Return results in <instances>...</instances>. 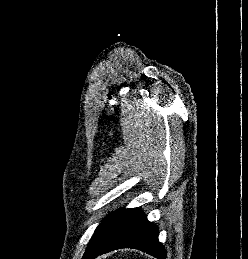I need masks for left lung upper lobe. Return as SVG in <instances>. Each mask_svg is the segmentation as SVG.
Returning a JSON list of instances; mask_svg holds the SVG:
<instances>
[{
  "label": "left lung upper lobe",
  "instance_id": "1",
  "mask_svg": "<svg viewBox=\"0 0 248 259\" xmlns=\"http://www.w3.org/2000/svg\"><path fill=\"white\" fill-rule=\"evenodd\" d=\"M120 211V210H119ZM119 211H116V212H113V213H111L107 218H105L102 222H101V224L96 228V230L102 225V224H104L105 222H107L111 217H113L116 213H118ZM95 230V231H96Z\"/></svg>",
  "mask_w": 248,
  "mask_h": 259
}]
</instances>
